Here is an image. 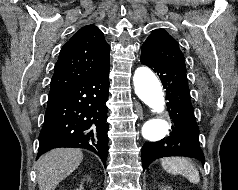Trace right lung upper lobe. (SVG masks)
Returning a JSON list of instances; mask_svg holds the SVG:
<instances>
[{"instance_id":"obj_1","label":"right lung upper lobe","mask_w":238,"mask_h":190,"mask_svg":"<svg viewBox=\"0 0 238 190\" xmlns=\"http://www.w3.org/2000/svg\"><path fill=\"white\" fill-rule=\"evenodd\" d=\"M110 47L94 25L79 29L62 47L49 96L95 74L110 64Z\"/></svg>"}]
</instances>
